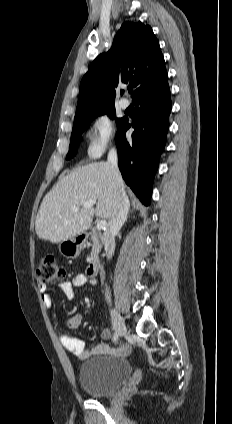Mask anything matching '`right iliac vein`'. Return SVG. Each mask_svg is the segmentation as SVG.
I'll return each instance as SVG.
<instances>
[{"label": "right iliac vein", "mask_w": 232, "mask_h": 424, "mask_svg": "<svg viewBox=\"0 0 232 424\" xmlns=\"http://www.w3.org/2000/svg\"><path fill=\"white\" fill-rule=\"evenodd\" d=\"M110 315H111L113 327L116 330V332L120 336H123L124 334H126L127 328H126L124 319L122 318L120 313L116 309L111 308L110 309Z\"/></svg>", "instance_id": "63e3f726"}]
</instances>
